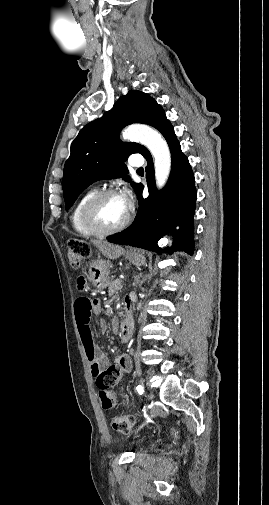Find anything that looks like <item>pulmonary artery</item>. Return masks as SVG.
Returning a JSON list of instances; mask_svg holds the SVG:
<instances>
[{"mask_svg":"<svg viewBox=\"0 0 269 505\" xmlns=\"http://www.w3.org/2000/svg\"><path fill=\"white\" fill-rule=\"evenodd\" d=\"M129 164L134 167H141L143 165V160L138 155H133L129 159Z\"/></svg>","mask_w":269,"mask_h":505,"instance_id":"e3ab8cb5","label":"pulmonary artery"}]
</instances>
